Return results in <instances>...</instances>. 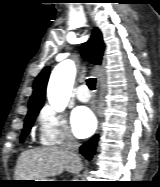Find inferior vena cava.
Here are the masks:
<instances>
[{
    "label": "inferior vena cava",
    "mask_w": 160,
    "mask_h": 187,
    "mask_svg": "<svg viewBox=\"0 0 160 187\" xmlns=\"http://www.w3.org/2000/svg\"><path fill=\"white\" fill-rule=\"evenodd\" d=\"M79 147L78 142L72 137L70 136L68 138V141L66 143V147L65 149L75 157L76 160H80L79 156L75 153V150H77V148Z\"/></svg>",
    "instance_id": "inferior-vena-cava-1"
}]
</instances>
